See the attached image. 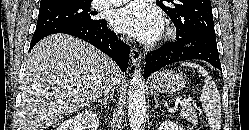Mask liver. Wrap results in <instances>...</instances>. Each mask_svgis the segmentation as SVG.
Segmentation results:
<instances>
[{"mask_svg":"<svg viewBox=\"0 0 249 130\" xmlns=\"http://www.w3.org/2000/svg\"><path fill=\"white\" fill-rule=\"evenodd\" d=\"M115 64L91 44L53 34L31 50L23 76L22 130H48L64 116L99 98ZM117 84H123L120 71Z\"/></svg>","mask_w":249,"mask_h":130,"instance_id":"liver-1","label":"liver"}]
</instances>
